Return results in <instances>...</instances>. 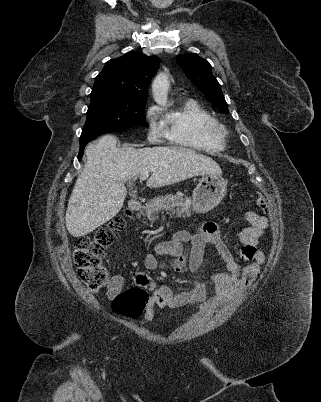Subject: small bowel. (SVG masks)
I'll use <instances>...</instances> for the list:
<instances>
[{"label":"small bowel","instance_id":"1","mask_svg":"<svg viewBox=\"0 0 321 402\" xmlns=\"http://www.w3.org/2000/svg\"><path fill=\"white\" fill-rule=\"evenodd\" d=\"M246 221L247 226L239 232V240L242 243L239 258L247 262L244 266L230 251L222 238L219 226L215 223H206L196 230L178 231L170 240L156 243L152 251L145 256L144 265L149 270H155L160 267L159 257L172 256L175 258L172 263L174 271L182 272L188 268L198 277L206 258V250L212 247L226 267V272L217 273L212 277L216 301L226 305L240 298L244 290L258 277L265 263V255L259 249V242L268 228V219L256 212H248ZM184 244L190 245L188 252H184ZM133 277L151 292L143 317L146 323L153 321L156 308L178 311L187 305L199 306L207 298V287L198 278L191 289L174 293L168 285H156L143 271H136ZM123 286V276L113 275L108 285V298H115Z\"/></svg>","mask_w":321,"mask_h":402}]
</instances>
